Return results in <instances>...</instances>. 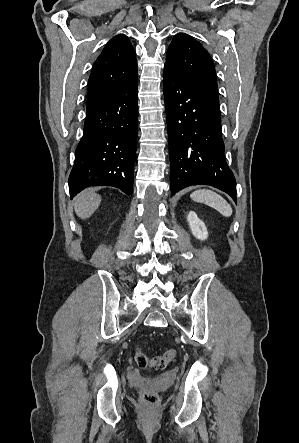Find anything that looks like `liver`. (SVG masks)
Returning <instances> with one entry per match:
<instances>
[{
    "mask_svg": "<svg viewBox=\"0 0 299 443\" xmlns=\"http://www.w3.org/2000/svg\"><path fill=\"white\" fill-rule=\"evenodd\" d=\"M100 203L101 196L96 194L93 189H86L74 200L75 213L81 219H87L97 210Z\"/></svg>",
    "mask_w": 299,
    "mask_h": 443,
    "instance_id": "obj_1",
    "label": "liver"
}]
</instances>
